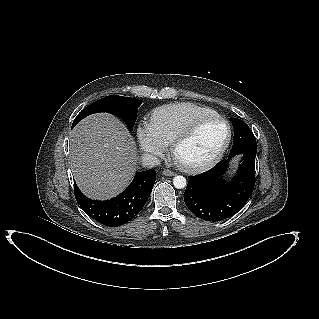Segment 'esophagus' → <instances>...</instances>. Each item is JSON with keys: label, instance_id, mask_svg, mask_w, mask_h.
Masks as SVG:
<instances>
[{"label": "esophagus", "instance_id": "34e87169", "mask_svg": "<svg viewBox=\"0 0 319 319\" xmlns=\"http://www.w3.org/2000/svg\"><path fill=\"white\" fill-rule=\"evenodd\" d=\"M162 174H163L164 176H174V175H176L175 172H173V171H171V170H169V169L163 170V171H162Z\"/></svg>", "mask_w": 319, "mask_h": 319}]
</instances>
